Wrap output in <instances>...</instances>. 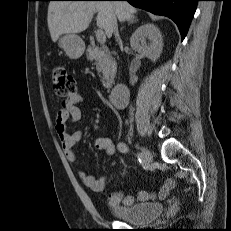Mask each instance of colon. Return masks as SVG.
<instances>
[{
    "label": "colon",
    "instance_id": "obj_1",
    "mask_svg": "<svg viewBox=\"0 0 231 231\" xmlns=\"http://www.w3.org/2000/svg\"><path fill=\"white\" fill-rule=\"evenodd\" d=\"M51 80L54 92L58 97L69 98L76 93L75 79L63 66L52 67Z\"/></svg>",
    "mask_w": 231,
    "mask_h": 231
}]
</instances>
